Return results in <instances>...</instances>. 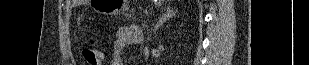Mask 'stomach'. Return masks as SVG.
<instances>
[{"instance_id": "stomach-1", "label": "stomach", "mask_w": 309, "mask_h": 65, "mask_svg": "<svg viewBox=\"0 0 309 65\" xmlns=\"http://www.w3.org/2000/svg\"><path fill=\"white\" fill-rule=\"evenodd\" d=\"M97 12L105 15H119L126 10L127 0H93Z\"/></svg>"}]
</instances>
